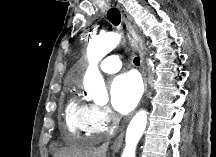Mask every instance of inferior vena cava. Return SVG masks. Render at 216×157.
Returning <instances> with one entry per match:
<instances>
[{
    "label": "inferior vena cava",
    "mask_w": 216,
    "mask_h": 157,
    "mask_svg": "<svg viewBox=\"0 0 216 157\" xmlns=\"http://www.w3.org/2000/svg\"><path fill=\"white\" fill-rule=\"evenodd\" d=\"M108 145H109V142L107 141L106 143L102 144V146H100V148L98 150L100 152L105 153V155H106V151H107Z\"/></svg>",
    "instance_id": "obj_1"
}]
</instances>
